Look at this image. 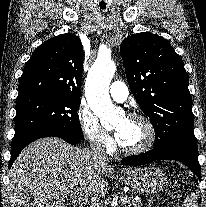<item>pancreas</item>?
<instances>
[{
	"instance_id": "cf45deb5",
	"label": "pancreas",
	"mask_w": 206,
	"mask_h": 207,
	"mask_svg": "<svg viewBox=\"0 0 206 207\" xmlns=\"http://www.w3.org/2000/svg\"><path fill=\"white\" fill-rule=\"evenodd\" d=\"M141 206H142V204L139 202L128 203V207H141ZM93 207H106V203L101 202V203H98V205L95 204Z\"/></svg>"
}]
</instances>
